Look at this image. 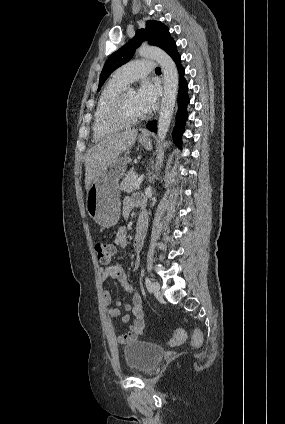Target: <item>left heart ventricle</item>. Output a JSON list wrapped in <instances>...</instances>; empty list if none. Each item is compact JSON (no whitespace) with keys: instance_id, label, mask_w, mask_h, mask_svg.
I'll list each match as a JSON object with an SVG mask.
<instances>
[{"instance_id":"obj_1","label":"left heart ventricle","mask_w":285,"mask_h":424,"mask_svg":"<svg viewBox=\"0 0 285 424\" xmlns=\"http://www.w3.org/2000/svg\"><path fill=\"white\" fill-rule=\"evenodd\" d=\"M124 111L129 118H138L144 115L137 104L135 92L128 91L125 98Z\"/></svg>"}]
</instances>
